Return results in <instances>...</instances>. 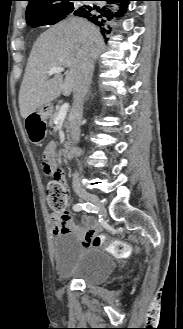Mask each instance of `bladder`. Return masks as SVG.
I'll return each instance as SVG.
<instances>
[{
    "mask_svg": "<svg viewBox=\"0 0 183 329\" xmlns=\"http://www.w3.org/2000/svg\"><path fill=\"white\" fill-rule=\"evenodd\" d=\"M56 270L62 278L87 284L104 283L114 269L110 255L101 247H84L71 232H62L52 241Z\"/></svg>",
    "mask_w": 183,
    "mask_h": 329,
    "instance_id": "1",
    "label": "bladder"
}]
</instances>
